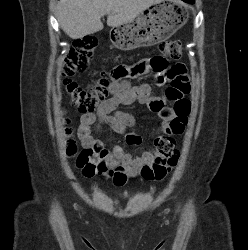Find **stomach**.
<instances>
[{
    "mask_svg": "<svg viewBox=\"0 0 248 250\" xmlns=\"http://www.w3.org/2000/svg\"><path fill=\"white\" fill-rule=\"evenodd\" d=\"M179 0H162L141 11L137 17L110 31V41L123 51L149 47L171 37L187 21Z\"/></svg>",
    "mask_w": 248,
    "mask_h": 250,
    "instance_id": "stomach-1",
    "label": "stomach"
}]
</instances>
